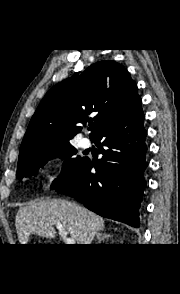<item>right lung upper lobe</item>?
Returning a JSON list of instances; mask_svg holds the SVG:
<instances>
[{
    "label": "right lung upper lobe",
    "instance_id": "obj_1",
    "mask_svg": "<svg viewBox=\"0 0 180 294\" xmlns=\"http://www.w3.org/2000/svg\"><path fill=\"white\" fill-rule=\"evenodd\" d=\"M129 72L113 61H100L81 75L52 87L39 104L22 141L19 160L39 150L70 143L92 112L94 127L90 138L126 111L140 97Z\"/></svg>",
    "mask_w": 180,
    "mask_h": 294
}]
</instances>
